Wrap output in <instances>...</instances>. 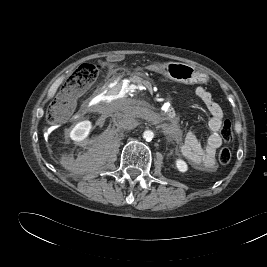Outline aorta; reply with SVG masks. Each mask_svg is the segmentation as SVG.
Wrapping results in <instances>:
<instances>
[{"instance_id":"762f6f07","label":"aorta","mask_w":267,"mask_h":267,"mask_svg":"<svg viewBox=\"0 0 267 267\" xmlns=\"http://www.w3.org/2000/svg\"><path fill=\"white\" fill-rule=\"evenodd\" d=\"M143 138L146 141H151L154 138V133L151 130H146L143 132Z\"/></svg>"}]
</instances>
